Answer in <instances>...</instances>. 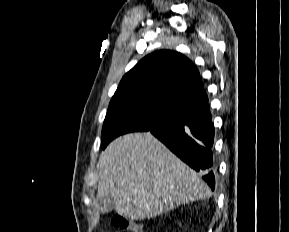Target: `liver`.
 <instances>
[{
  "mask_svg": "<svg viewBox=\"0 0 289 232\" xmlns=\"http://www.w3.org/2000/svg\"><path fill=\"white\" fill-rule=\"evenodd\" d=\"M97 171V199L126 219H150L211 195L200 175L150 132L112 141L100 154Z\"/></svg>",
  "mask_w": 289,
  "mask_h": 232,
  "instance_id": "liver-1",
  "label": "liver"
}]
</instances>
